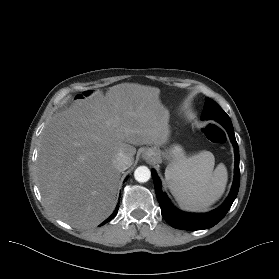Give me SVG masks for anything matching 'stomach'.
<instances>
[{
    "instance_id": "stomach-1",
    "label": "stomach",
    "mask_w": 279,
    "mask_h": 279,
    "mask_svg": "<svg viewBox=\"0 0 279 279\" xmlns=\"http://www.w3.org/2000/svg\"><path fill=\"white\" fill-rule=\"evenodd\" d=\"M149 150L154 151L159 159L161 157H166L171 159V162H176L184 157V151L180 146H173L171 149L168 150V152H162L161 150H159V148L152 147L149 149H145V153Z\"/></svg>"
}]
</instances>
